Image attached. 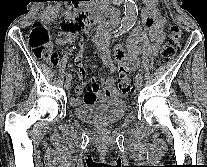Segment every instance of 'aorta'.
Segmentation results:
<instances>
[{"instance_id": "1", "label": "aorta", "mask_w": 207, "mask_h": 167, "mask_svg": "<svg viewBox=\"0 0 207 167\" xmlns=\"http://www.w3.org/2000/svg\"><path fill=\"white\" fill-rule=\"evenodd\" d=\"M124 7L125 15L121 20V24L119 27L120 33H124L131 29L134 26L138 15L137 7L133 0H125Z\"/></svg>"}]
</instances>
